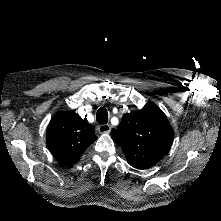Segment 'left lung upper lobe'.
Here are the masks:
<instances>
[{"mask_svg": "<svg viewBox=\"0 0 221 221\" xmlns=\"http://www.w3.org/2000/svg\"><path fill=\"white\" fill-rule=\"evenodd\" d=\"M173 135L167 117L152 102L139 111L125 114L118 128L111 130L128 163L138 169L157 164L170 148Z\"/></svg>", "mask_w": 221, "mask_h": 221, "instance_id": "5c2ea615", "label": "left lung upper lobe"}]
</instances>
